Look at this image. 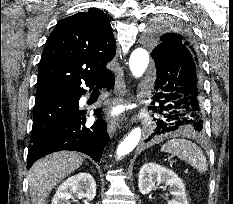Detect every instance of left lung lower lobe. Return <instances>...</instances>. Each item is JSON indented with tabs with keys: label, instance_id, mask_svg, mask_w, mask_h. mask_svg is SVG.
Here are the masks:
<instances>
[{
	"label": "left lung lower lobe",
	"instance_id": "obj_1",
	"mask_svg": "<svg viewBox=\"0 0 233 204\" xmlns=\"http://www.w3.org/2000/svg\"><path fill=\"white\" fill-rule=\"evenodd\" d=\"M191 60L180 49L164 48L156 54L153 88L158 104L149 108L154 114L147 140L178 131H202L201 76Z\"/></svg>",
	"mask_w": 233,
	"mask_h": 204
}]
</instances>
